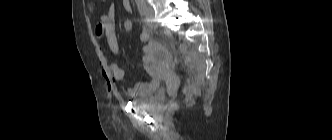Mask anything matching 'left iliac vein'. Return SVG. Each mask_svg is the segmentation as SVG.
<instances>
[{"instance_id":"left-iliac-vein-1","label":"left iliac vein","mask_w":332,"mask_h":140,"mask_svg":"<svg viewBox=\"0 0 332 140\" xmlns=\"http://www.w3.org/2000/svg\"><path fill=\"white\" fill-rule=\"evenodd\" d=\"M144 19L149 27L157 28V24L154 20V11L151 6L145 3Z\"/></svg>"}]
</instances>
